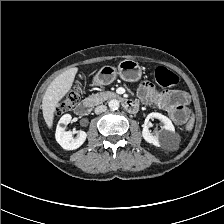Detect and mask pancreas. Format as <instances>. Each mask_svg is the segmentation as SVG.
<instances>
[{
	"label": "pancreas",
	"instance_id": "obj_1",
	"mask_svg": "<svg viewBox=\"0 0 224 224\" xmlns=\"http://www.w3.org/2000/svg\"><path fill=\"white\" fill-rule=\"evenodd\" d=\"M116 96L115 93H111V92H107L105 94H94L91 97L97 102V103H101L103 101H105L106 99L110 98V97H114Z\"/></svg>",
	"mask_w": 224,
	"mask_h": 224
}]
</instances>
